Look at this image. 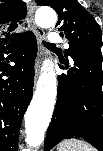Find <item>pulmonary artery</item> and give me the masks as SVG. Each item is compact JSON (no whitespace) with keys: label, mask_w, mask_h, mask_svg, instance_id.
<instances>
[{"label":"pulmonary artery","mask_w":103,"mask_h":151,"mask_svg":"<svg viewBox=\"0 0 103 151\" xmlns=\"http://www.w3.org/2000/svg\"><path fill=\"white\" fill-rule=\"evenodd\" d=\"M49 40L52 42V43H60L62 42V39L60 37V35L56 32H52L50 35H49ZM66 47H68V44H65Z\"/></svg>","instance_id":"1"}]
</instances>
